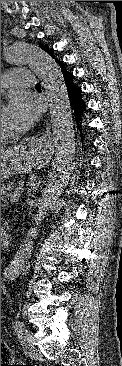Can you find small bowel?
Segmentation results:
<instances>
[{
	"label": "small bowel",
	"mask_w": 122,
	"mask_h": 366,
	"mask_svg": "<svg viewBox=\"0 0 122 366\" xmlns=\"http://www.w3.org/2000/svg\"><path fill=\"white\" fill-rule=\"evenodd\" d=\"M17 272H18V270H17V268H15V267H13V268L9 269V271H8V277H10V276H12V275L16 274Z\"/></svg>",
	"instance_id": "1"
}]
</instances>
